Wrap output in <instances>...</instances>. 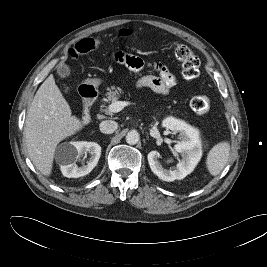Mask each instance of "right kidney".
Returning a JSON list of instances; mask_svg holds the SVG:
<instances>
[{
	"instance_id": "ca27d5eb",
	"label": "right kidney",
	"mask_w": 267,
	"mask_h": 267,
	"mask_svg": "<svg viewBox=\"0 0 267 267\" xmlns=\"http://www.w3.org/2000/svg\"><path fill=\"white\" fill-rule=\"evenodd\" d=\"M69 149L67 158L61 164L62 174L68 178H79L89 174L97 165L101 155V146L95 142H72L69 144ZM84 153H89L90 158L87 165L78 167L76 162Z\"/></svg>"
}]
</instances>
